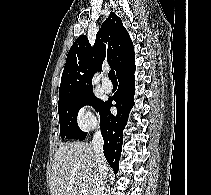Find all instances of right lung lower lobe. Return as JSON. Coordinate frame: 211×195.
<instances>
[{
    "label": "right lung lower lobe",
    "mask_w": 211,
    "mask_h": 195,
    "mask_svg": "<svg viewBox=\"0 0 211 195\" xmlns=\"http://www.w3.org/2000/svg\"><path fill=\"white\" fill-rule=\"evenodd\" d=\"M135 64L117 77L119 81L118 91L112 99L104 103L100 112V127L104 139V155L114 173L118 172L119 159L123 143V129L128 120V114L134 105L133 96L135 93ZM116 101V114H111L112 101Z\"/></svg>",
    "instance_id": "1"
}]
</instances>
